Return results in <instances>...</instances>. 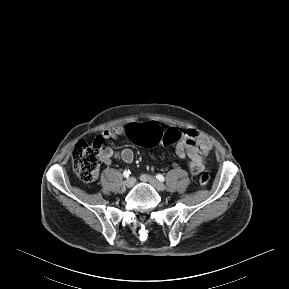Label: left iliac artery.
I'll list each match as a JSON object with an SVG mask.
<instances>
[{
  "label": "left iliac artery",
  "mask_w": 289,
  "mask_h": 289,
  "mask_svg": "<svg viewBox=\"0 0 289 289\" xmlns=\"http://www.w3.org/2000/svg\"><path fill=\"white\" fill-rule=\"evenodd\" d=\"M156 178H157L160 182H164V180H165L164 176L161 175V174H157V175H156Z\"/></svg>",
  "instance_id": "1"
}]
</instances>
